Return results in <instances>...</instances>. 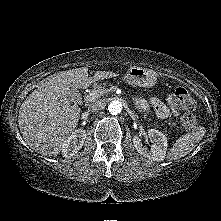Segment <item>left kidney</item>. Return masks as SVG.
<instances>
[{
	"instance_id": "obj_1",
	"label": "left kidney",
	"mask_w": 221,
	"mask_h": 221,
	"mask_svg": "<svg viewBox=\"0 0 221 221\" xmlns=\"http://www.w3.org/2000/svg\"><path fill=\"white\" fill-rule=\"evenodd\" d=\"M148 136L153 143L151 149L149 150L147 147L143 146L137 135L133 137L135 149L143 155V157L148 158L149 160L163 161L168 145L166 136L156 129H149Z\"/></svg>"
}]
</instances>
